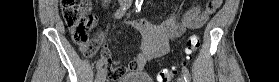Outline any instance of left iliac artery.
<instances>
[{
  "mask_svg": "<svg viewBox=\"0 0 279 82\" xmlns=\"http://www.w3.org/2000/svg\"><path fill=\"white\" fill-rule=\"evenodd\" d=\"M143 0H136V12L141 11ZM183 78L185 82H190V73L186 67L182 68Z\"/></svg>",
  "mask_w": 279,
  "mask_h": 82,
  "instance_id": "left-iliac-artery-1",
  "label": "left iliac artery"
}]
</instances>
